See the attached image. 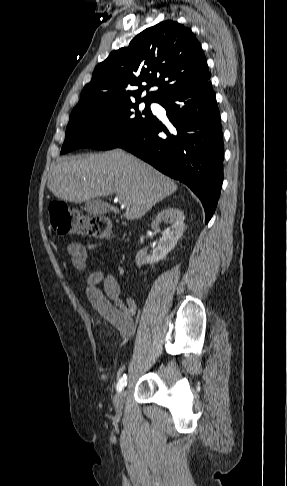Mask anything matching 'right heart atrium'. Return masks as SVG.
<instances>
[{"label": "right heart atrium", "mask_w": 287, "mask_h": 486, "mask_svg": "<svg viewBox=\"0 0 287 486\" xmlns=\"http://www.w3.org/2000/svg\"><path fill=\"white\" fill-rule=\"evenodd\" d=\"M116 118L113 115H108L105 117L104 122L108 126H112L115 124Z\"/></svg>", "instance_id": "1"}]
</instances>
